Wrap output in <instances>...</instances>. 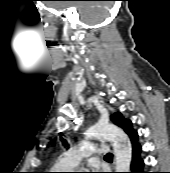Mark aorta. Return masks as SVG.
<instances>
[{
	"label": "aorta",
	"mask_w": 170,
	"mask_h": 173,
	"mask_svg": "<svg viewBox=\"0 0 170 173\" xmlns=\"http://www.w3.org/2000/svg\"><path fill=\"white\" fill-rule=\"evenodd\" d=\"M89 137L103 138L112 142L116 172H129L132 148L123 130L109 123H97L88 129Z\"/></svg>",
	"instance_id": "aorta-1"
}]
</instances>
